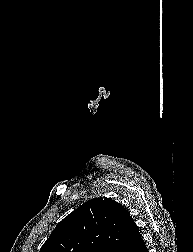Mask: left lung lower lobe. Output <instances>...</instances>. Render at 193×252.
<instances>
[{"label":"left lung lower lobe","instance_id":"1","mask_svg":"<svg viewBox=\"0 0 193 252\" xmlns=\"http://www.w3.org/2000/svg\"><path fill=\"white\" fill-rule=\"evenodd\" d=\"M122 252H149L138 229L134 231Z\"/></svg>","mask_w":193,"mask_h":252}]
</instances>
